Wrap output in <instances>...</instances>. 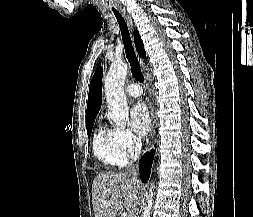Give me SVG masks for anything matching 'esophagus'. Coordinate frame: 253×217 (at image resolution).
<instances>
[{"label": "esophagus", "instance_id": "34e87169", "mask_svg": "<svg viewBox=\"0 0 253 217\" xmlns=\"http://www.w3.org/2000/svg\"><path fill=\"white\" fill-rule=\"evenodd\" d=\"M122 13H123L128 25L131 28H133V21H132L131 17L129 16V14L125 10H122ZM140 64L142 65V69H143V74H144V78H145V85H146V88L148 89V105H149L150 118H151V130H150L149 138L147 140V146H150L153 143V140L155 138L156 118H155L153 103L151 101V94H150V89H149L146 64H145L144 60H142V59H140Z\"/></svg>", "mask_w": 253, "mask_h": 217}]
</instances>
